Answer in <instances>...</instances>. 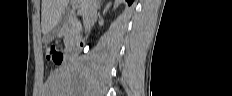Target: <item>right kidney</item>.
<instances>
[{
  "label": "right kidney",
  "instance_id": "right-kidney-1",
  "mask_svg": "<svg viewBox=\"0 0 232 96\" xmlns=\"http://www.w3.org/2000/svg\"><path fill=\"white\" fill-rule=\"evenodd\" d=\"M110 7V4H108L107 6H106V8L104 9V12H103V14H105L106 13V11L108 10V8Z\"/></svg>",
  "mask_w": 232,
  "mask_h": 96
}]
</instances>
